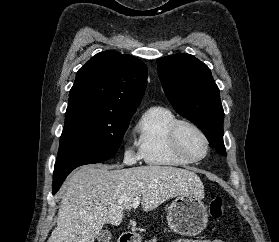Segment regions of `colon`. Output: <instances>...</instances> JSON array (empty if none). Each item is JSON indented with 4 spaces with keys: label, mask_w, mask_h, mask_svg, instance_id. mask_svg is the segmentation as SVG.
Listing matches in <instances>:
<instances>
[{
    "label": "colon",
    "mask_w": 279,
    "mask_h": 242,
    "mask_svg": "<svg viewBox=\"0 0 279 242\" xmlns=\"http://www.w3.org/2000/svg\"><path fill=\"white\" fill-rule=\"evenodd\" d=\"M209 215L214 220H219L222 218L224 213V206H223V200L220 196L214 197L209 202Z\"/></svg>",
    "instance_id": "1"
}]
</instances>
